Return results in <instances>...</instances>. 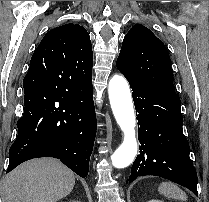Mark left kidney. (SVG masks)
Here are the masks:
<instances>
[{
    "mask_svg": "<svg viewBox=\"0 0 209 202\" xmlns=\"http://www.w3.org/2000/svg\"><path fill=\"white\" fill-rule=\"evenodd\" d=\"M148 202H163V201L157 200V199H152V200H149Z\"/></svg>",
    "mask_w": 209,
    "mask_h": 202,
    "instance_id": "5707ae66",
    "label": "left kidney"
}]
</instances>
